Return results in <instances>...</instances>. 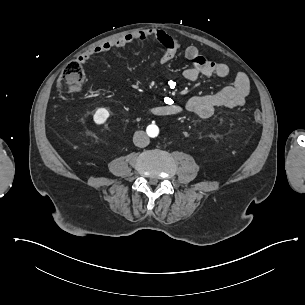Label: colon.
<instances>
[{"instance_id":"1","label":"colon","mask_w":305,"mask_h":305,"mask_svg":"<svg viewBox=\"0 0 305 305\" xmlns=\"http://www.w3.org/2000/svg\"><path fill=\"white\" fill-rule=\"evenodd\" d=\"M85 78V67L82 62L78 60H70L65 63L63 72L56 82L58 90L65 89L67 92H78ZM253 118L257 123L262 121V115L260 111L255 110L253 112Z\"/></svg>"}]
</instances>
